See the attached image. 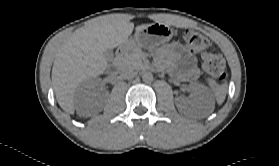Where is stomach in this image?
Instances as JSON below:
<instances>
[{"mask_svg": "<svg viewBox=\"0 0 279 166\" xmlns=\"http://www.w3.org/2000/svg\"><path fill=\"white\" fill-rule=\"evenodd\" d=\"M173 34L170 26L164 23H152L141 31H137L122 46L127 50L135 46L151 49L168 42Z\"/></svg>", "mask_w": 279, "mask_h": 166, "instance_id": "0dacf381", "label": "stomach"}]
</instances>
